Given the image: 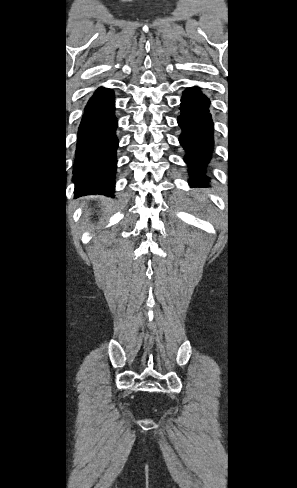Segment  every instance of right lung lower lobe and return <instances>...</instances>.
Segmentation results:
<instances>
[{
    "mask_svg": "<svg viewBox=\"0 0 297 488\" xmlns=\"http://www.w3.org/2000/svg\"><path fill=\"white\" fill-rule=\"evenodd\" d=\"M114 109L113 91L103 87L95 91L85 107L77 139L75 197L113 196L118 147Z\"/></svg>",
    "mask_w": 297,
    "mask_h": 488,
    "instance_id": "1",
    "label": "right lung lower lobe"
}]
</instances>
